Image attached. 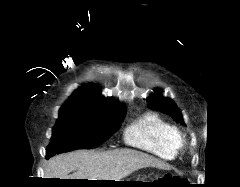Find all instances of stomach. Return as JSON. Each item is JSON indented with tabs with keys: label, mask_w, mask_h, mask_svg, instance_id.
Instances as JSON below:
<instances>
[{
	"label": "stomach",
	"mask_w": 240,
	"mask_h": 187,
	"mask_svg": "<svg viewBox=\"0 0 240 187\" xmlns=\"http://www.w3.org/2000/svg\"><path fill=\"white\" fill-rule=\"evenodd\" d=\"M120 181H131V180H120ZM134 182H146V181L122 182V183H116L114 185L119 187L147 186L142 183H134Z\"/></svg>",
	"instance_id": "0dacf381"
}]
</instances>
